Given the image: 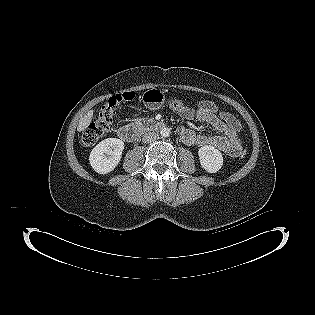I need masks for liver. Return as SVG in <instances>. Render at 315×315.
I'll return each mask as SVG.
<instances>
[{
  "mask_svg": "<svg viewBox=\"0 0 315 315\" xmlns=\"http://www.w3.org/2000/svg\"><path fill=\"white\" fill-rule=\"evenodd\" d=\"M92 117H93V110H90L87 112V114L80 119L77 130L78 131H83L85 130L89 124L92 122Z\"/></svg>",
  "mask_w": 315,
  "mask_h": 315,
  "instance_id": "1",
  "label": "liver"
}]
</instances>
